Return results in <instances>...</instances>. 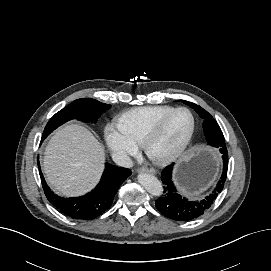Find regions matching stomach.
Masks as SVG:
<instances>
[{
    "label": "stomach",
    "mask_w": 271,
    "mask_h": 271,
    "mask_svg": "<svg viewBox=\"0 0 271 271\" xmlns=\"http://www.w3.org/2000/svg\"><path fill=\"white\" fill-rule=\"evenodd\" d=\"M217 155L203 148H196L178 163L175 179L182 193L195 196L206 190L217 176Z\"/></svg>",
    "instance_id": "obj_1"
}]
</instances>
